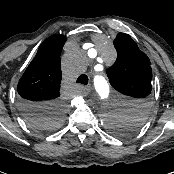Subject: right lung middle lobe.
I'll return each instance as SVG.
<instances>
[{
	"mask_svg": "<svg viewBox=\"0 0 174 174\" xmlns=\"http://www.w3.org/2000/svg\"><path fill=\"white\" fill-rule=\"evenodd\" d=\"M63 112V104L57 103L47 112L37 114L34 117L29 118L28 122L33 128L39 131H52L61 125L63 120Z\"/></svg>",
	"mask_w": 174,
	"mask_h": 174,
	"instance_id": "dd1d6c3e",
	"label": "right lung middle lobe"
}]
</instances>
